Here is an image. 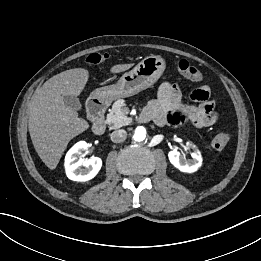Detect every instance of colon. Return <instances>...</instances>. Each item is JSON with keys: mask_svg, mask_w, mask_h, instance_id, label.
Returning <instances> with one entry per match:
<instances>
[{"mask_svg": "<svg viewBox=\"0 0 261 261\" xmlns=\"http://www.w3.org/2000/svg\"><path fill=\"white\" fill-rule=\"evenodd\" d=\"M108 58L107 54L91 53L86 57V62L91 65H97ZM176 69L186 78L192 81H200L202 73L187 60L181 59L175 61ZM230 137L226 133L216 135L212 140V147L215 150H223L229 143Z\"/></svg>", "mask_w": 261, "mask_h": 261, "instance_id": "obj_1", "label": "colon"}]
</instances>
